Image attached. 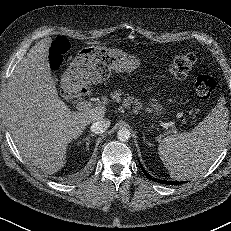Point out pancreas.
Segmentation results:
<instances>
[{"mask_svg": "<svg viewBox=\"0 0 231 231\" xmlns=\"http://www.w3.org/2000/svg\"><path fill=\"white\" fill-rule=\"evenodd\" d=\"M123 93L121 91H113L110 93V97L113 101H116V102H121L122 101V98H121V95ZM123 106L129 108L131 105H134L135 106V109H140L142 108V104L138 101V99H135L133 97H126V98H123Z\"/></svg>", "mask_w": 231, "mask_h": 231, "instance_id": "cf45deb5", "label": "pancreas"}]
</instances>
